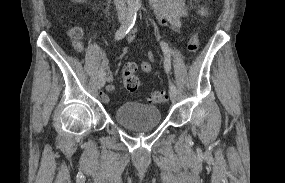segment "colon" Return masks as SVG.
Here are the masks:
<instances>
[{
	"instance_id": "1",
	"label": "colon",
	"mask_w": 285,
	"mask_h": 183,
	"mask_svg": "<svg viewBox=\"0 0 285 183\" xmlns=\"http://www.w3.org/2000/svg\"><path fill=\"white\" fill-rule=\"evenodd\" d=\"M70 35L74 40L75 48L80 51L82 44L80 42L82 36V29L80 27H73L70 30ZM199 48V40L196 34H193L187 41V51L190 54H195ZM137 65L134 62H127L123 65V85L129 92H135L139 87V79L136 76ZM168 96L164 91H153L149 95V101L156 104L165 103Z\"/></svg>"
}]
</instances>
